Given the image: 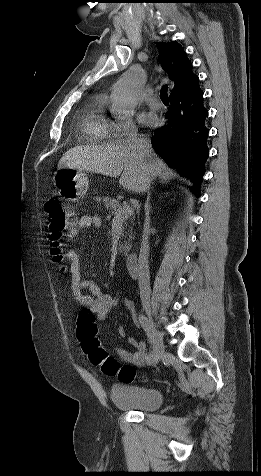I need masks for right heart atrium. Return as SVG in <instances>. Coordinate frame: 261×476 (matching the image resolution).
I'll return each instance as SVG.
<instances>
[{
  "label": "right heart atrium",
  "mask_w": 261,
  "mask_h": 476,
  "mask_svg": "<svg viewBox=\"0 0 261 476\" xmlns=\"http://www.w3.org/2000/svg\"><path fill=\"white\" fill-rule=\"evenodd\" d=\"M137 127L132 117H127L114 122L111 125V137L122 139L125 137L135 136Z\"/></svg>",
  "instance_id": "1"
}]
</instances>
